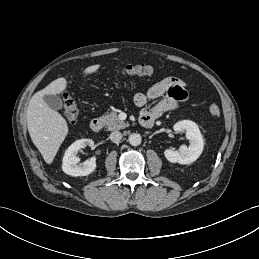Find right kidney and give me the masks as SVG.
I'll use <instances>...</instances> for the list:
<instances>
[{"mask_svg":"<svg viewBox=\"0 0 259 259\" xmlns=\"http://www.w3.org/2000/svg\"><path fill=\"white\" fill-rule=\"evenodd\" d=\"M94 141L92 139H80L72 143L68 149L65 151L63 161H62V170L64 173L70 176H87L91 174L96 169V159L95 157L86 160L82 166H78L80 158L77 156L78 151L86 146L92 147Z\"/></svg>","mask_w":259,"mask_h":259,"instance_id":"right-kidney-1","label":"right kidney"}]
</instances>
